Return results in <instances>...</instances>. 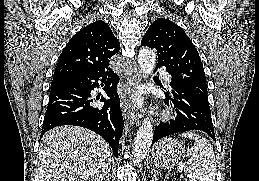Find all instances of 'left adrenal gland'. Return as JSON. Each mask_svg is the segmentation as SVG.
Wrapping results in <instances>:
<instances>
[{
    "label": "left adrenal gland",
    "instance_id": "left-adrenal-gland-1",
    "mask_svg": "<svg viewBox=\"0 0 259 181\" xmlns=\"http://www.w3.org/2000/svg\"><path fill=\"white\" fill-rule=\"evenodd\" d=\"M151 177H152V180L151 181H154L155 180V178L157 177V175L159 174V172H156V170H152V172H151Z\"/></svg>",
    "mask_w": 259,
    "mask_h": 181
}]
</instances>
